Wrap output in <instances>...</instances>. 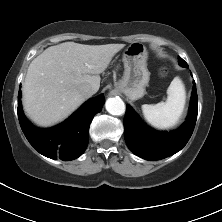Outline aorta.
I'll use <instances>...</instances> for the list:
<instances>
[{
	"instance_id": "obj_1",
	"label": "aorta",
	"mask_w": 222,
	"mask_h": 222,
	"mask_svg": "<svg viewBox=\"0 0 222 222\" xmlns=\"http://www.w3.org/2000/svg\"><path fill=\"white\" fill-rule=\"evenodd\" d=\"M106 110L116 116H121L125 113V104L119 97L108 98L105 103Z\"/></svg>"
}]
</instances>
